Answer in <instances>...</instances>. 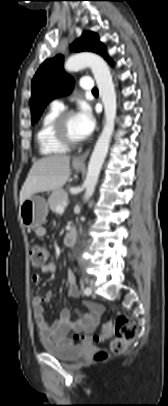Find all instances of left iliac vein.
<instances>
[{
  "mask_svg": "<svg viewBox=\"0 0 168 406\" xmlns=\"http://www.w3.org/2000/svg\"><path fill=\"white\" fill-rule=\"evenodd\" d=\"M91 288H92V289L94 288V285H93V284H91Z\"/></svg>",
  "mask_w": 168,
  "mask_h": 406,
  "instance_id": "obj_1",
  "label": "left iliac vein"
}]
</instances>
